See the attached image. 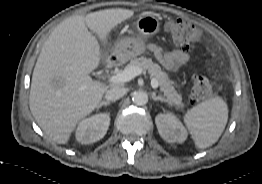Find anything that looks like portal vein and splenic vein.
I'll return each instance as SVG.
<instances>
[{
	"label": "portal vein and splenic vein",
	"instance_id": "portal-vein-and-splenic-vein-1",
	"mask_svg": "<svg viewBox=\"0 0 262 184\" xmlns=\"http://www.w3.org/2000/svg\"><path fill=\"white\" fill-rule=\"evenodd\" d=\"M142 72L144 71L137 66L128 67L123 71H120L119 73L110 76L108 78V82L113 84L125 83L132 80L134 77L140 75ZM151 86L154 89L158 88L159 86L158 81L153 78L151 80Z\"/></svg>",
	"mask_w": 262,
	"mask_h": 184
}]
</instances>
